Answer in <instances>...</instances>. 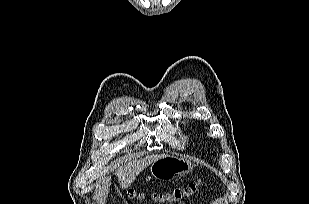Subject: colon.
<instances>
[{
    "label": "colon",
    "instance_id": "1",
    "mask_svg": "<svg viewBox=\"0 0 309 204\" xmlns=\"http://www.w3.org/2000/svg\"><path fill=\"white\" fill-rule=\"evenodd\" d=\"M201 181L195 180L190 182L189 184L175 189L173 192L166 194H154L152 198L159 203L162 204H171V203H179L186 199L192 198L199 190ZM132 197L139 196V194L135 192H130Z\"/></svg>",
    "mask_w": 309,
    "mask_h": 204
}]
</instances>
